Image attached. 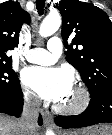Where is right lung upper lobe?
Listing matches in <instances>:
<instances>
[{"mask_svg": "<svg viewBox=\"0 0 112 135\" xmlns=\"http://www.w3.org/2000/svg\"><path fill=\"white\" fill-rule=\"evenodd\" d=\"M29 21V14L18 2L9 0L0 4V62L12 61L7 52L18 46L21 27Z\"/></svg>", "mask_w": 112, "mask_h": 135, "instance_id": "obj_1", "label": "right lung upper lobe"}]
</instances>
